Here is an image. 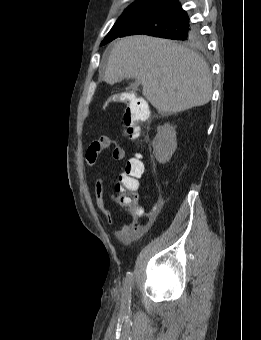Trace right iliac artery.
I'll list each match as a JSON object with an SVG mask.
<instances>
[{"instance_id":"82829eb1","label":"right iliac artery","mask_w":261,"mask_h":340,"mask_svg":"<svg viewBox=\"0 0 261 340\" xmlns=\"http://www.w3.org/2000/svg\"><path fill=\"white\" fill-rule=\"evenodd\" d=\"M131 284H132V273L128 272L126 279H125V298L123 301V306L124 308H129L130 307V302H131Z\"/></svg>"}]
</instances>
